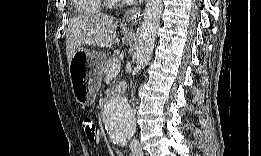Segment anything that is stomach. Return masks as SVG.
<instances>
[{
  "instance_id": "stomach-1",
  "label": "stomach",
  "mask_w": 261,
  "mask_h": 156,
  "mask_svg": "<svg viewBox=\"0 0 261 156\" xmlns=\"http://www.w3.org/2000/svg\"><path fill=\"white\" fill-rule=\"evenodd\" d=\"M105 60V54L83 49L74 54L70 63V77L74 96L81 105L89 106L94 103ZM79 63H82V67H79Z\"/></svg>"
}]
</instances>
